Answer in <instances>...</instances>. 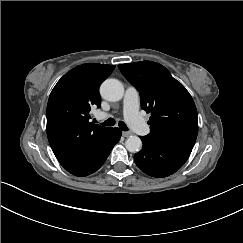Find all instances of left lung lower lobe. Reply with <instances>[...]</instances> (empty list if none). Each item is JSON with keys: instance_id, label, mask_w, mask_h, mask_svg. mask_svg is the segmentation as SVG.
Wrapping results in <instances>:
<instances>
[{"instance_id": "0a47b994", "label": "left lung lower lobe", "mask_w": 243, "mask_h": 243, "mask_svg": "<svg viewBox=\"0 0 243 243\" xmlns=\"http://www.w3.org/2000/svg\"><path fill=\"white\" fill-rule=\"evenodd\" d=\"M142 149L134 155L136 165L147 175L167 177L180 169L192 148L165 142L149 136L140 137Z\"/></svg>"}]
</instances>
